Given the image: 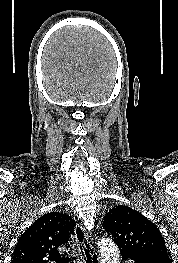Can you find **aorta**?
<instances>
[{
  "mask_svg": "<svg viewBox=\"0 0 178 263\" xmlns=\"http://www.w3.org/2000/svg\"><path fill=\"white\" fill-rule=\"evenodd\" d=\"M100 263H119L120 252L117 245L109 238L98 241Z\"/></svg>",
  "mask_w": 178,
  "mask_h": 263,
  "instance_id": "762f6f07",
  "label": "aorta"
}]
</instances>
